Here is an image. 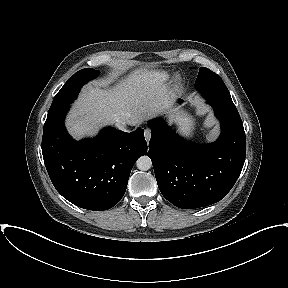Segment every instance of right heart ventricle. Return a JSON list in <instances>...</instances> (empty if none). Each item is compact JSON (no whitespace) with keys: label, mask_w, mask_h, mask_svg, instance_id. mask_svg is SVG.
Returning a JSON list of instances; mask_svg holds the SVG:
<instances>
[{"label":"right heart ventricle","mask_w":288,"mask_h":288,"mask_svg":"<svg viewBox=\"0 0 288 288\" xmlns=\"http://www.w3.org/2000/svg\"><path fill=\"white\" fill-rule=\"evenodd\" d=\"M168 78V74L167 73H159L158 74V79L160 80V81H165L166 79Z\"/></svg>","instance_id":"e07e8e85"}]
</instances>
